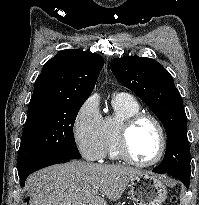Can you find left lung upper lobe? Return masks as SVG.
<instances>
[{
  "instance_id": "left-lung-upper-lobe-1",
  "label": "left lung upper lobe",
  "mask_w": 199,
  "mask_h": 205,
  "mask_svg": "<svg viewBox=\"0 0 199 205\" xmlns=\"http://www.w3.org/2000/svg\"><path fill=\"white\" fill-rule=\"evenodd\" d=\"M110 67L116 79L142 99L165 128L167 150L153 171L190 180L187 117L172 76L156 60L146 57L115 58Z\"/></svg>"
}]
</instances>
